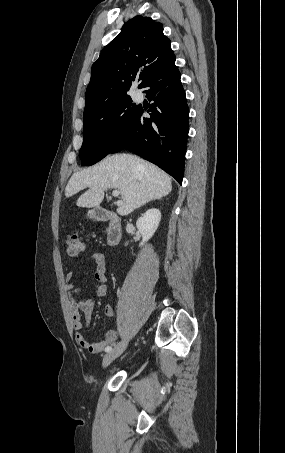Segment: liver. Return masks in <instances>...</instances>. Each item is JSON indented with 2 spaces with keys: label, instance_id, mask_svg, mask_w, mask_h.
I'll list each match as a JSON object with an SVG mask.
<instances>
[{
  "label": "liver",
  "instance_id": "1",
  "mask_svg": "<svg viewBox=\"0 0 285 453\" xmlns=\"http://www.w3.org/2000/svg\"><path fill=\"white\" fill-rule=\"evenodd\" d=\"M85 188L89 189L78 198L77 206L97 207L105 190L115 188L122 197L117 213L126 216L145 203L168 195L172 182L168 174L150 162L131 154H115L74 173L65 196L71 197Z\"/></svg>",
  "mask_w": 285,
  "mask_h": 453
}]
</instances>
